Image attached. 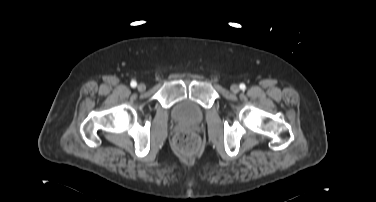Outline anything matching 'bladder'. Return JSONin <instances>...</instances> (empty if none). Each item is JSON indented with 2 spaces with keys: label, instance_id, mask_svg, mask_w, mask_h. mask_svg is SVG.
Segmentation results:
<instances>
[{
  "label": "bladder",
  "instance_id": "31cf9c89",
  "mask_svg": "<svg viewBox=\"0 0 376 202\" xmlns=\"http://www.w3.org/2000/svg\"><path fill=\"white\" fill-rule=\"evenodd\" d=\"M172 114L176 120L191 124L203 119L202 108L190 99L178 101L173 107Z\"/></svg>",
  "mask_w": 376,
  "mask_h": 202
}]
</instances>
